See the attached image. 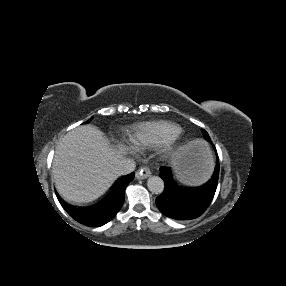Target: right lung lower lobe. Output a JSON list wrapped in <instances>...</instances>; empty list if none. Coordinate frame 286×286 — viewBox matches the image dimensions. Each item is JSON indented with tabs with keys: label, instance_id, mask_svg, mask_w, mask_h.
Returning a JSON list of instances; mask_svg holds the SVG:
<instances>
[{
	"label": "right lung lower lobe",
	"instance_id": "obj_1",
	"mask_svg": "<svg viewBox=\"0 0 286 286\" xmlns=\"http://www.w3.org/2000/svg\"><path fill=\"white\" fill-rule=\"evenodd\" d=\"M135 173L121 178L109 194L98 203L79 207L68 205L57 195V198L67 213L76 221L89 227H100L118 213L124 203V192L127 185L134 179Z\"/></svg>",
	"mask_w": 286,
	"mask_h": 286
}]
</instances>
